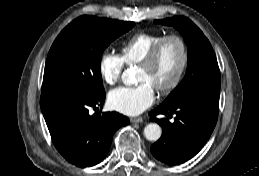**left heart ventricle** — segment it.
<instances>
[{
  "label": "left heart ventricle",
  "mask_w": 259,
  "mask_h": 176,
  "mask_svg": "<svg viewBox=\"0 0 259 176\" xmlns=\"http://www.w3.org/2000/svg\"><path fill=\"white\" fill-rule=\"evenodd\" d=\"M181 58L180 45L174 40L167 42L153 66L138 68L137 81L148 82L155 89L159 86H165L175 77Z\"/></svg>",
  "instance_id": "b2bd125f"
}]
</instances>
